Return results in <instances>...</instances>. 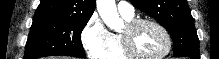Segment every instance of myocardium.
Returning <instances> with one entry per match:
<instances>
[{
    "instance_id": "myocardium-1",
    "label": "myocardium",
    "mask_w": 219,
    "mask_h": 59,
    "mask_svg": "<svg viewBox=\"0 0 219 59\" xmlns=\"http://www.w3.org/2000/svg\"><path fill=\"white\" fill-rule=\"evenodd\" d=\"M149 24L156 27L166 39V49L163 53L153 57L142 56L138 54L133 46V34L142 25ZM123 52L129 59H164L168 57L172 51L173 40L168 29L160 22L151 18L133 19L126 23L125 31L120 35Z\"/></svg>"
}]
</instances>
